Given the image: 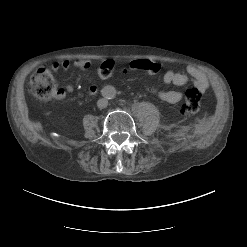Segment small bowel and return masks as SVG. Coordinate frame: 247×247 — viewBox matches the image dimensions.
Returning a JSON list of instances; mask_svg holds the SVG:
<instances>
[{
    "label": "small bowel",
    "mask_w": 247,
    "mask_h": 247,
    "mask_svg": "<svg viewBox=\"0 0 247 247\" xmlns=\"http://www.w3.org/2000/svg\"><path fill=\"white\" fill-rule=\"evenodd\" d=\"M77 67L88 70L91 66L90 62L88 60L79 59L76 60L74 63ZM70 67V63L68 61H63L61 63H56L52 65L53 71H58L59 69L67 70ZM129 68L131 70H144L150 74H155L160 71V65L153 61L148 60H135L132 61L129 65ZM162 80L165 84H173L176 86H182L188 83L189 81H192L195 88L201 92L204 93L209 88V81L204 72H202L200 69H198L195 66L189 65L186 69V72H174V71H166L164 72L162 76ZM74 90V87L72 85H67L65 87V91H60L59 96L63 97L65 95V92H72ZM150 91L160 100L166 101L169 103H178L182 99V93L175 90H163L159 89L157 87H151ZM97 92V86L91 85L88 88V93L90 95H93Z\"/></svg>",
    "instance_id": "c3829d8e"
}]
</instances>
